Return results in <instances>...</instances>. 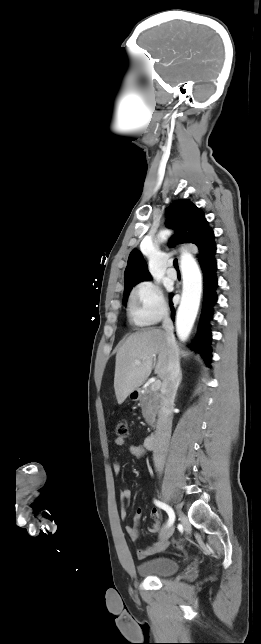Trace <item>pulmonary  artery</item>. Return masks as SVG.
<instances>
[{"label": "pulmonary artery", "instance_id": "obj_1", "mask_svg": "<svg viewBox=\"0 0 261 644\" xmlns=\"http://www.w3.org/2000/svg\"><path fill=\"white\" fill-rule=\"evenodd\" d=\"M167 275H168L170 278H172V279H176V278H177V272H176V270H175L174 268H169V269L167 270Z\"/></svg>", "mask_w": 261, "mask_h": 644}]
</instances>
